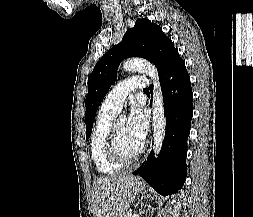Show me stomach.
<instances>
[{
	"label": "stomach",
	"mask_w": 253,
	"mask_h": 217,
	"mask_svg": "<svg viewBox=\"0 0 253 217\" xmlns=\"http://www.w3.org/2000/svg\"><path fill=\"white\" fill-rule=\"evenodd\" d=\"M134 189H135L136 193H143V192H145L146 188L142 182L136 181Z\"/></svg>",
	"instance_id": "0dacf381"
}]
</instances>
